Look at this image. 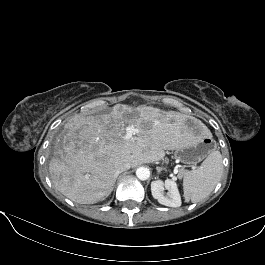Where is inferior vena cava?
Segmentation results:
<instances>
[{
	"mask_svg": "<svg viewBox=\"0 0 265 265\" xmlns=\"http://www.w3.org/2000/svg\"><path fill=\"white\" fill-rule=\"evenodd\" d=\"M130 167H131L130 162H124V163H121V164H119L118 167H117V173L119 174V173H121V172H124V171L130 169Z\"/></svg>",
	"mask_w": 265,
	"mask_h": 265,
	"instance_id": "1",
	"label": "inferior vena cava"
}]
</instances>
